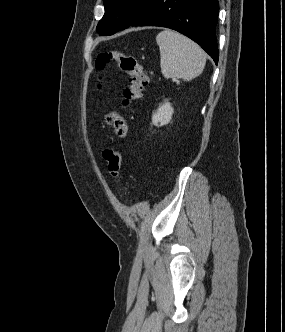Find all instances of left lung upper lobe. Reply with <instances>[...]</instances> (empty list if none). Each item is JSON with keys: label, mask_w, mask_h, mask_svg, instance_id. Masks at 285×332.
I'll return each instance as SVG.
<instances>
[{"label": "left lung upper lobe", "mask_w": 285, "mask_h": 332, "mask_svg": "<svg viewBox=\"0 0 285 332\" xmlns=\"http://www.w3.org/2000/svg\"><path fill=\"white\" fill-rule=\"evenodd\" d=\"M154 0H104L105 14L97 25L100 35H112L130 26Z\"/></svg>", "instance_id": "obj_1"}]
</instances>
